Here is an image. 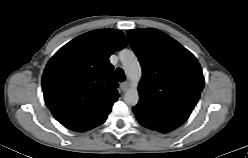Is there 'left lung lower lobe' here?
Masks as SVG:
<instances>
[{
    "label": "left lung lower lobe",
    "instance_id": "0a47b994",
    "mask_svg": "<svg viewBox=\"0 0 248 158\" xmlns=\"http://www.w3.org/2000/svg\"><path fill=\"white\" fill-rule=\"evenodd\" d=\"M137 119H138V122H139L142 126H144V127H146V128H149V129H151V130H155L151 125L147 124L144 120L139 119V118H137Z\"/></svg>",
    "mask_w": 248,
    "mask_h": 158
}]
</instances>
